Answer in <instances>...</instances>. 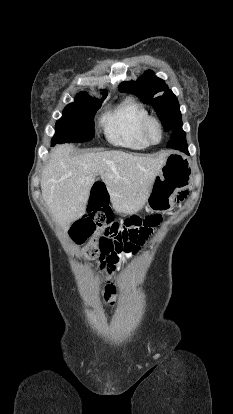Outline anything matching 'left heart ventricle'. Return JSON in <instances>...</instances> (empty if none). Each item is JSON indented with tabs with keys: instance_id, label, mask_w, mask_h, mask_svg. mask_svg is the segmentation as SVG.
<instances>
[{
	"instance_id": "left-heart-ventricle-1",
	"label": "left heart ventricle",
	"mask_w": 233,
	"mask_h": 414,
	"mask_svg": "<svg viewBox=\"0 0 233 414\" xmlns=\"http://www.w3.org/2000/svg\"><path fill=\"white\" fill-rule=\"evenodd\" d=\"M150 134L153 140H158L159 138V131L156 126H152L150 129Z\"/></svg>"
}]
</instances>
